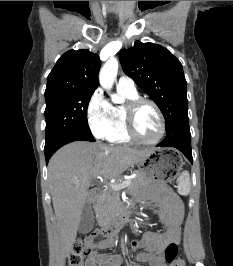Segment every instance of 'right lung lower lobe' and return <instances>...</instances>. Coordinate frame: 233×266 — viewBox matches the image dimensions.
Wrapping results in <instances>:
<instances>
[{
    "mask_svg": "<svg viewBox=\"0 0 233 266\" xmlns=\"http://www.w3.org/2000/svg\"><path fill=\"white\" fill-rule=\"evenodd\" d=\"M78 140H85V141H90L94 142L95 139L93 138L92 134L89 133H76V134H71L65 137H62L55 141L54 143L45 146V159H46V164L48 163L50 157L63 145L68 144L73 141H78Z\"/></svg>",
    "mask_w": 233,
    "mask_h": 266,
    "instance_id": "1",
    "label": "right lung lower lobe"
}]
</instances>
